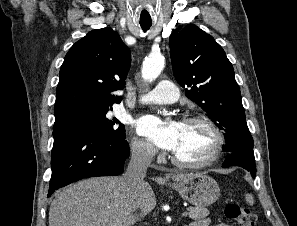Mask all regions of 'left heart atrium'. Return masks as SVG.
Masks as SVG:
<instances>
[{
  "label": "left heart atrium",
  "mask_w": 297,
  "mask_h": 226,
  "mask_svg": "<svg viewBox=\"0 0 297 226\" xmlns=\"http://www.w3.org/2000/svg\"><path fill=\"white\" fill-rule=\"evenodd\" d=\"M179 122L164 123L158 118L146 115L135 123L137 131L151 140L158 147L174 150L179 138Z\"/></svg>",
  "instance_id": "obj_1"
}]
</instances>
